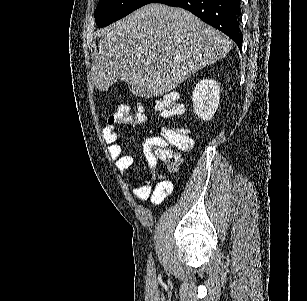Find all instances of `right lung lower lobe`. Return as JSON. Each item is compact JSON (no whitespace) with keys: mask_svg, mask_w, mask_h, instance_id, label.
<instances>
[{"mask_svg":"<svg viewBox=\"0 0 307 301\" xmlns=\"http://www.w3.org/2000/svg\"><path fill=\"white\" fill-rule=\"evenodd\" d=\"M151 3H163L192 12L207 24L225 33L240 50L242 49L240 0H152Z\"/></svg>","mask_w":307,"mask_h":301,"instance_id":"right-lung-lower-lobe-1","label":"right lung lower lobe"}]
</instances>
